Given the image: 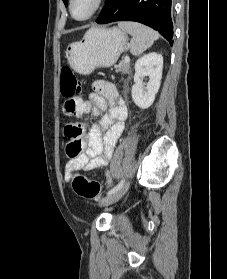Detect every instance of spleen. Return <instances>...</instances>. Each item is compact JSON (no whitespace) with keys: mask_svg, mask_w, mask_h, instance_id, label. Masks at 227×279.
<instances>
[{"mask_svg":"<svg viewBox=\"0 0 227 279\" xmlns=\"http://www.w3.org/2000/svg\"><path fill=\"white\" fill-rule=\"evenodd\" d=\"M118 27L132 36L130 52L135 56L141 55L159 38L156 31L140 23L119 22Z\"/></svg>","mask_w":227,"mask_h":279,"instance_id":"spleen-1","label":"spleen"}]
</instances>
